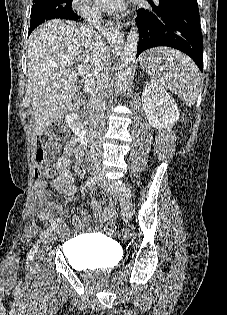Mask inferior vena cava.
I'll use <instances>...</instances> for the list:
<instances>
[{"label": "inferior vena cava", "mask_w": 227, "mask_h": 315, "mask_svg": "<svg viewBox=\"0 0 227 315\" xmlns=\"http://www.w3.org/2000/svg\"><path fill=\"white\" fill-rule=\"evenodd\" d=\"M84 18L89 22V30L98 35L101 23V14L96 8H87L83 12ZM110 55L103 63L96 66L91 83L89 97L90 115V153L99 152L101 148V136L105 129L106 92L109 85Z\"/></svg>", "instance_id": "602c4592"}]
</instances>
